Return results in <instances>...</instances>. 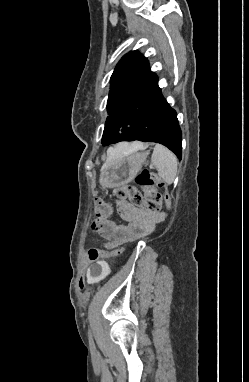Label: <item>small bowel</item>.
Here are the masks:
<instances>
[{"instance_id":"c3829d8e","label":"small bowel","mask_w":249,"mask_h":382,"mask_svg":"<svg viewBox=\"0 0 249 382\" xmlns=\"http://www.w3.org/2000/svg\"><path fill=\"white\" fill-rule=\"evenodd\" d=\"M119 218L126 225L119 224L109 217H95L92 229L100 234L108 247L137 240L153 232L155 226L164 219L162 213L150 212L131 205L125 200L117 202ZM101 270L103 267H100Z\"/></svg>"}]
</instances>
